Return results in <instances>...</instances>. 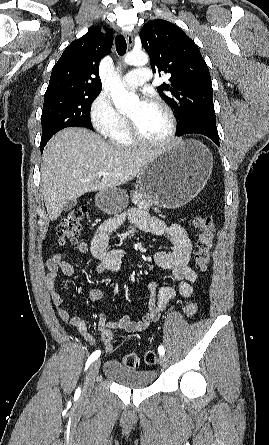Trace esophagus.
Listing matches in <instances>:
<instances>
[{
	"mask_svg": "<svg viewBox=\"0 0 269 445\" xmlns=\"http://www.w3.org/2000/svg\"><path fill=\"white\" fill-rule=\"evenodd\" d=\"M124 35H125L127 44L129 46H132L133 45V35L130 32H124Z\"/></svg>",
	"mask_w": 269,
	"mask_h": 445,
	"instance_id": "1",
	"label": "esophagus"
}]
</instances>
